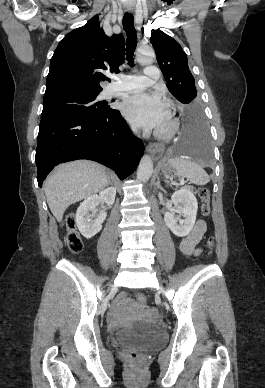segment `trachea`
I'll return each instance as SVG.
<instances>
[{
  "label": "trachea",
  "instance_id": "trachea-1",
  "mask_svg": "<svg viewBox=\"0 0 265 388\" xmlns=\"http://www.w3.org/2000/svg\"><path fill=\"white\" fill-rule=\"evenodd\" d=\"M123 27L127 33L126 55L127 60L133 65V55L137 43L136 30L134 28V18L132 13H125L123 17Z\"/></svg>",
  "mask_w": 265,
  "mask_h": 388
}]
</instances>
